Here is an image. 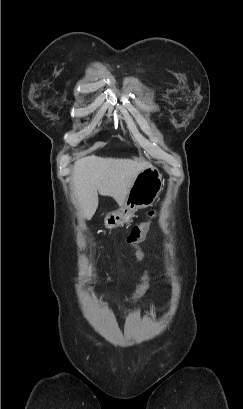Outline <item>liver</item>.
Segmentation results:
<instances>
[{"mask_svg":"<svg viewBox=\"0 0 243 409\" xmlns=\"http://www.w3.org/2000/svg\"><path fill=\"white\" fill-rule=\"evenodd\" d=\"M149 165L142 159L80 158L75 161L72 172L74 202L80 205L87 219L97 210L98 192L123 206L135 177Z\"/></svg>","mask_w":243,"mask_h":409,"instance_id":"obj_1","label":"liver"}]
</instances>
